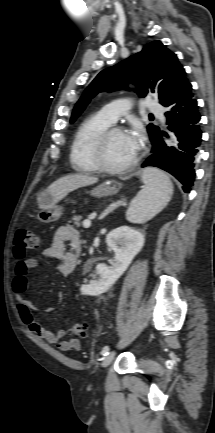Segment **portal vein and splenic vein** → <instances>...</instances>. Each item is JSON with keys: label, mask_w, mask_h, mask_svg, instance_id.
<instances>
[{"label": "portal vein and splenic vein", "mask_w": 215, "mask_h": 433, "mask_svg": "<svg viewBox=\"0 0 215 433\" xmlns=\"http://www.w3.org/2000/svg\"><path fill=\"white\" fill-rule=\"evenodd\" d=\"M83 226L84 228H89L91 226V220L90 219L84 220Z\"/></svg>", "instance_id": "portal-vein-and-splenic-vein-1"}]
</instances>
